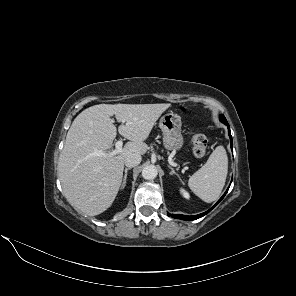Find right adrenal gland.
<instances>
[{"instance_id":"obj_1","label":"right adrenal gland","mask_w":296,"mask_h":296,"mask_svg":"<svg viewBox=\"0 0 296 296\" xmlns=\"http://www.w3.org/2000/svg\"><path fill=\"white\" fill-rule=\"evenodd\" d=\"M130 169L131 168H125V175H124V179H123V183H122L121 189H123L126 186L127 173H128V170H130Z\"/></svg>"}]
</instances>
